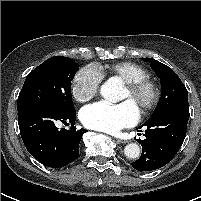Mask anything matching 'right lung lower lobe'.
I'll return each instance as SVG.
<instances>
[{"label": "right lung lower lobe", "instance_id": "1", "mask_svg": "<svg viewBox=\"0 0 201 201\" xmlns=\"http://www.w3.org/2000/svg\"><path fill=\"white\" fill-rule=\"evenodd\" d=\"M75 111L62 112L47 104H32L18 111V124L28 152L40 163L61 168L79 155V143L85 129L56 127V122L74 125Z\"/></svg>", "mask_w": 201, "mask_h": 201}]
</instances>
